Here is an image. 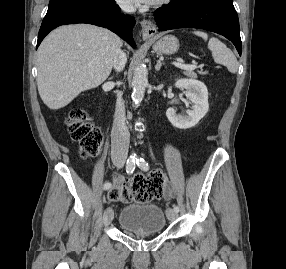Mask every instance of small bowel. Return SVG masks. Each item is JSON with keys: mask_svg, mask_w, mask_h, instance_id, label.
Listing matches in <instances>:
<instances>
[{"mask_svg": "<svg viewBox=\"0 0 286 269\" xmlns=\"http://www.w3.org/2000/svg\"><path fill=\"white\" fill-rule=\"evenodd\" d=\"M118 177L123 178L122 176H118ZM165 181H166V178H165ZM164 198L166 200H171L174 198V189L170 184L166 185V187H165Z\"/></svg>", "mask_w": 286, "mask_h": 269, "instance_id": "c3829d8e", "label": "small bowel"}]
</instances>
